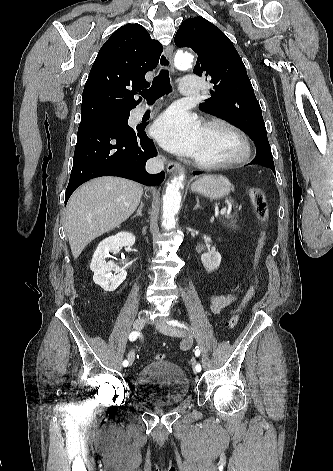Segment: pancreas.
I'll return each instance as SVG.
<instances>
[{"label":"pancreas","mask_w":333,"mask_h":471,"mask_svg":"<svg viewBox=\"0 0 333 471\" xmlns=\"http://www.w3.org/2000/svg\"><path fill=\"white\" fill-rule=\"evenodd\" d=\"M237 216L235 215H226L225 216V220L223 221V225L226 226V227H231V228H234L236 229L237 228Z\"/></svg>","instance_id":"1"}]
</instances>
